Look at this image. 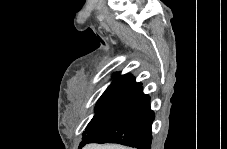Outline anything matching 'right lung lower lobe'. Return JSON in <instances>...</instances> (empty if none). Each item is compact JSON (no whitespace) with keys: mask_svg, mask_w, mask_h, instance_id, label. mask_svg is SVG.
<instances>
[{"mask_svg":"<svg viewBox=\"0 0 227 149\" xmlns=\"http://www.w3.org/2000/svg\"><path fill=\"white\" fill-rule=\"evenodd\" d=\"M155 115L150 97L140 90L134 101L115 119L93 131L87 143H118L138 149H150Z\"/></svg>","mask_w":227,"mask_h":149,"instance_id":"1","label":"right lung lower lobe"}]
</instances>
